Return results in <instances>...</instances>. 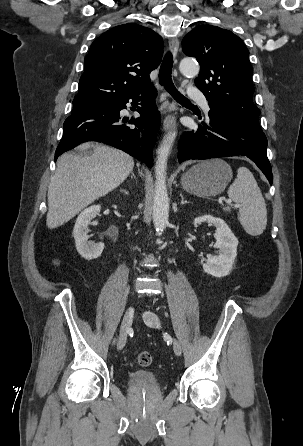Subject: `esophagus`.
I'll return each instance as SVG.
<instances>
[{
  "label": "esophagus",
  "instance_id": "esophagus-1",
  "mask_svg": "<svg viewBox=\"0 0 303 446\" xmlns=\"http://www.w3.org/2000/svg\"><path fill=\"white\" fill-rule=\"evenodd\" d=\"M169 48L172 53V56L174 58L175 63L177 62V54L179 50V40L178 38L174 37L169 41ZM174 76L179 80L177 71H174ZM175 123V115L174 114H168L163 121V128L164 130H169L174 126Z\"/></svg>",
  "mask_w": 303,
  "mask_h": 446
}]
</instances>
